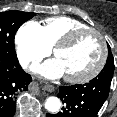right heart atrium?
<instances>
[{
    "label": "right heart atrium",
    "mask_w": 117,
    "mask_h": 117,
    "mask_svg": "<svg viewBox=\"0 0 117 117\" xmlns=\"http://www.w3.org/2000/svg\"><path fill=\"white\" fill-rule=\"evenodd\" d=\"M16 52L22 66L30 67L50 53L45 43L41 26L35 21L23 24L15 36Z\"/></svg>",
    "instance_id": "1"
}]
</instances>
